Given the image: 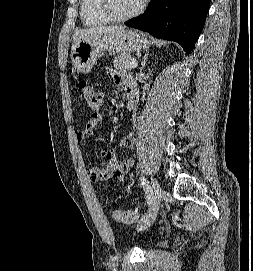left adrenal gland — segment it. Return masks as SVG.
I'll use <instances>...</instances> for the list:
<instances>
[{"label": "left adrenal gland", "mask_w": 253, "mask_h": 271, "mask_svg": "<svg viewBox=\"0 0 253 271\" xmlns=\"http://www.w3.org/2000/svg\"><path fill=\"white\" fill-rule=\"evenodd\" d=\"M147 58H148V53H145V55L143 56V60L141 62V70L144 69V67L146 65Z\"/></svg>", "instance_id": "a2214340"}]
</instances>
